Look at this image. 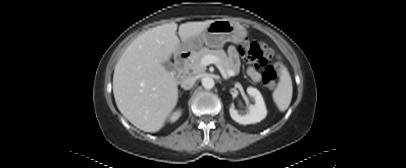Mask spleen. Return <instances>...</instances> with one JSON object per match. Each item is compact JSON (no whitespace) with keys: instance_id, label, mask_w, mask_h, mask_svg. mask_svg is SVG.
Segmentation results:
<instances>
[{"instance_id":"3e777b00","label":"spleen","mask_w":406,"mask_h":168,"mask_svg":"<svg viewBox=\"0 0 406 168\" xmlns=\"http://www.w3.org/2000/svg\"><path fill=\"white\" fill-rule=\"evenodd\" d=\"M293 93L292 80L288 70L283 67L281 70L280 80L272 96L275 104L281 112L287 110L291 103Z\"/></svg>"}]
</instances>
